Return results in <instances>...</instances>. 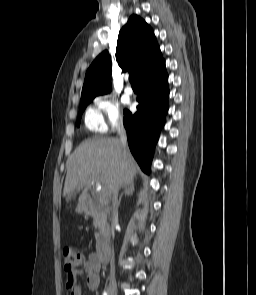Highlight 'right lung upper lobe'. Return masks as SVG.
<instances>
[{
    "label": "right lung upper lobe",
    "instance_id": "1",
    "mask_svg": "<svg viewBox=\"0 0 256 295\" xmlns=\"http://www.w3.org/2000/svg\"><path fill=\"white\" fill-rule=\"evenodd\" d=\"M116 60L123 72L135 75L136 81L163 60L153 30L137 15H132L119 32ZM111 70L110 55L105 50L87 70L81 98L109 93Z\"/></svg>",
    "mask_w": 256,
    "mask_h": 295
}]
</instances>
